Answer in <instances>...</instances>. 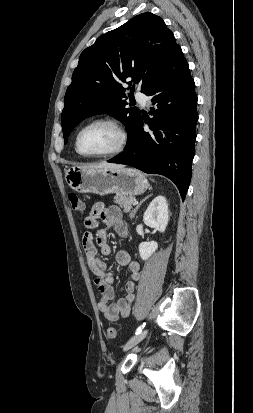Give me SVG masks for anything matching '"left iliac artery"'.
Returning a JSON list of instances; mask_svg holds the SVG:
<instances>
[{
  "mask_svg": "<svg viewBox=\"0 0 253 413\" xmlns=\"http://www.w3.org/2000/svg\"><path fill=\"white\" fill-rule=\"evenodd\" d=\"M144 327H145V323H143L142 325H140V326L136 329L135 334H139Z\"/></svg>",
  "mask_w": 253,
  "mask_h": 413,
  "instance_id": "44dca946",
  "label": "left iliac artery"
}]
</instances>
